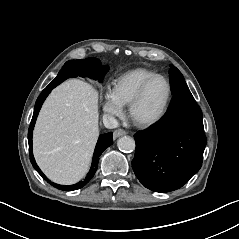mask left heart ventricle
<instances>
[{"label":"left heart ventricle","instance_id":"left-heart-ventricle-1","mask_svg":"<svg viewBox=\"0 0 239 239\" xmlns=\"http://www.w3.org/2000/svg\"><path fill=\"white\" fill-rule=\"evenodd\" d=\"M168 96V86L165 80H155L146 90L136 108V115L144 120L155 118L163 109Z\"/></svg>","mask_w":239,"mask_h":239}]
</instances>
